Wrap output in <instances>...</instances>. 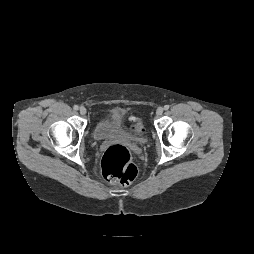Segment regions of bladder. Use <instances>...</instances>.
<instances>
[{"instance_id":"obj_1","label":"bladder","mask_w":254,"mask_h":254,"mask_svg":"<svg viewBox=\"0 0 254 254\" xmlns=\"http://www.w3.org/2000/svg\"><path fill=\"white\" fill-rule=\"evenodd\" d=\"M93 136L98 141L117 137H131L139 140L141 136L133 134L125 123L124 115L114 110L108 117L98 119L93 129Z\"/></svg>"}]
</instances>
